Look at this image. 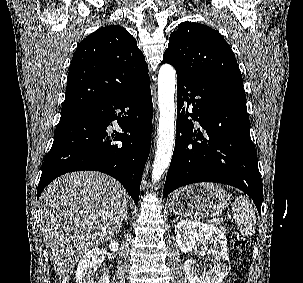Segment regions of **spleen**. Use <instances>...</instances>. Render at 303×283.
<instances>
[{
	"label": "spleen",
	"instance_id": "3e777b00",
	"mask_svg": "<svg viewBox=\"0 0 303 283\" xmlns=\"http://www.w3.org/2000/svg\"><path fill=\"white\" fill-rule=\"evenodd\" d=\"M233 217L239 232L245 236H251L255 232L256 216L249 199L241 195L232 205Z\"/></svg>",
	"mask_w": 303,
	"mask_h": 283
}]
</instances>
